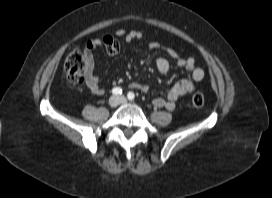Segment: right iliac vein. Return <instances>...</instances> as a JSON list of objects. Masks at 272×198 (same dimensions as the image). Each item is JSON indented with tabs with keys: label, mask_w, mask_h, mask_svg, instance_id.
<instances>
[{
	"label": "right iliac vein",
	"mask_w": 272,
	"mask_h": 198,
	"mask_svg": "<svg viewBox=\"0 0 272 198\" xmlns=\"http://www.w3.org/2000/svg\"><path fill=\"white\" fill-rule=\"evenodd\" d=\"M108 103L111 107H116L119 104V98L117 96H112L110 97Z\"/></svg>",
	"instance_id": "1"
}]
</instances>
